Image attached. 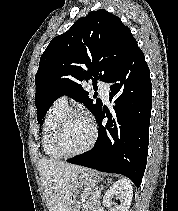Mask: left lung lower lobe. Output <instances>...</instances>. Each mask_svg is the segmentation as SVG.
Returning <instances> with one entry per match:
<instances>
[{
  "label": "left lung lower lobe",
  "mask_w": 178,
  "mask_h": 211,
  "mask_svg": "<svg viewBox=\"0 0 178 211\" xmlns=\"http://www.w3.org/2000/svg\"><path fill=\"white\" fill-rule=\"evenodd\" d=\"M113 111L101 108L96 116V146L67 162L108 173L123 174L139 187L146 167L152 107L150 71L138 45L107 80ZM108 122L102 125V119Z\"/></svg>",
  "instance_id": "1"
}]
</instances>
